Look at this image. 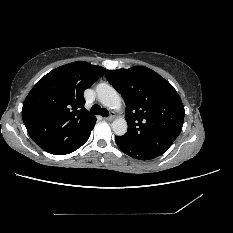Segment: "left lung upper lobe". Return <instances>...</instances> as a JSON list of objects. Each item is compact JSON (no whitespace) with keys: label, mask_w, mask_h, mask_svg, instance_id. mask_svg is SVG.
I'll use <instances>...</instances> for the list:
<instances>
[{"label":"left lung upper lobe","mask_w":233,"mask_h":233,"mask_svg":"<svg viewBox=\"0 0 233 233\" xmlns=\"http://www.w3.org/2000/svg\"><path fill=\"white\" fill-rule=\"evenodd\" d=\"M106 78L126 104L127 133L132 146L163 154L182 130L184 106L174 87L145 66L106 70Z\"/></svg>","instance_id":"5c2ea615"}]
</instances>
